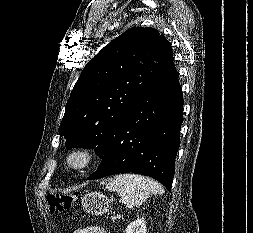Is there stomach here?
I'll use <instances>...</instances> for the list:
<instances>
[{
	"instance_id": "stomach-1",
	"label": "stomach",
	"mask_w": 253,
	"mask_h": 233,
	"mask_svg": "<svg viewBox=\"0 0 253 233\" xmlns=\"http://www.w3.org/2000/svg\"><path fill=\"white\" fill-rule=\"evenodd\" d=\"M83 209L92 215H102L108 212L111 200L100 192H89L82 197Z\"/></svg>"
}]
</instances>
